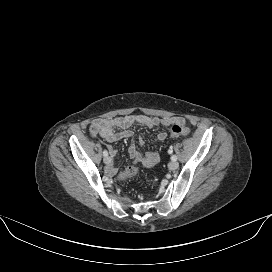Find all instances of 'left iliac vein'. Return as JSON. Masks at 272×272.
<instances>
[{"instance_id":"4c4485c4","label":"left iliac vein","mask_w":272,"mask_h":272,"mask_svg":"<svg viewBox=\"0 0 272 272\" xmlns=\"http://www.w3.org/2000/svg\"><path fill=\"white\" fill-rule=\"evenodd\" d=\"M179 164L178 162L176 161H171L169 164H168V168L169 170H176L178 168Z\"/></svg>"}]
</instances>
